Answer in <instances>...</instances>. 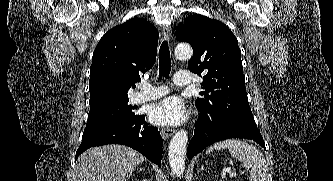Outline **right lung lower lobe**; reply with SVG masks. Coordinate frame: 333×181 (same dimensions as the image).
Listing matches in <instances>:
<instances>
[{
  "instance_id": "obj_1",
  "label": "right lung lower lobe",
  "mask_w": 333,
  "mask_h": 181,
  "mask_svg": "<svg viewBox=\"0 0 333 181\" xmlns=\"http://www.w3.org/2000/svg\"><path fill=\"white\" fill-rule=\"evenodd\" d=\"M105 144L132 147L158 166L161 165L163 139L156 127L148 125L144 115L135 114L127 119L84 131L75 158L90 147Z\"/></svg>"
}]
</instances>
